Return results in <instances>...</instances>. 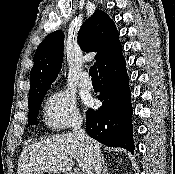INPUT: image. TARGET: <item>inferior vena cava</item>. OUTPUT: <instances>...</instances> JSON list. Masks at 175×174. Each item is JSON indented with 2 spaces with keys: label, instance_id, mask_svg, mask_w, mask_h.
I'll use <instances>...</instances> for the list:
<instances>
[{
  "label": "inferior vena cava",
  "instance_id": "inferior-vena-cava-1",
  "mask_svg": "<svg viewBox=\"0 0 175 174\" xmlns=\"http://www.w3.org/2000/svg\"><path fill=\"white\" fill-rule=\"evenodd\" d=\"M82 120H78L74 127L73 133L85 144L90 156L91 167L88 174H101L102 156L98 146L89 138L82 128Z\"/></svg>",
  "mask_w": 175,
  "mask_h": 174
}]
</instances>
